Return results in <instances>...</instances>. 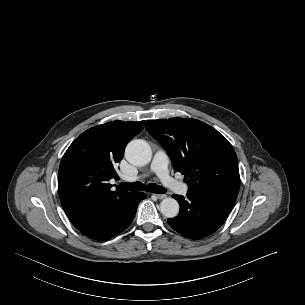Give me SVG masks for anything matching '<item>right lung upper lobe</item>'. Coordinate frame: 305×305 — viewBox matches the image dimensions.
Listing matches in <instances>:
<instances>
[{
    "label": "right lung upper lobe",
    "mask_w": 305,
    "mask_h": 305,
    "mask_svg": "<svg viewBox=\"0 0 305 305\" xmlns=\"http://www.w3.org/2000/svg\"><path fill=\"white\" fill-rule=\"evenodd\" d=\"M144 128V121H112L92 127L65 152L58 172L60 201L69 218L106 207L131 194L108 183L118 177L115 165L128 142Z\"/></svg>",
    "instance_id": "cb5924a9"
}]
</instances>
